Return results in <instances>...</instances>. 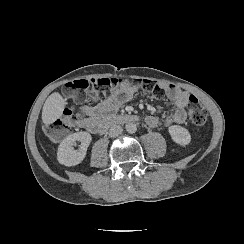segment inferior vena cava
Listing matches in <instances>:
<instances>
[{
  "label": "inferior vena cava",
  "mask_w": 244,
  "mask_h": 244,
  "mask_svg": "<svg viewBox=\"0 0 244 244\" xmlns=\"http://www.w3.org/2000/svg\"><path fill=\"white\" fill-rule=\"evenodd\" d=\"M123 129L120 125H113L109 129V136L115 138L122 133Z\"/></svg>",
  "instance_id": "1"
}]
</instances>
